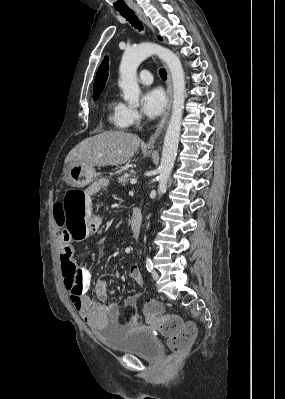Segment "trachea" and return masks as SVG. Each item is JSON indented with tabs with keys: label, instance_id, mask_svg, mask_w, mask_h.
Here are the masks:
<instances>
[{
	"label": "trachea",
	"instance_id": "obj_1",
	"mask_svg": "<svg viewBox=\"0 0 285 399\" xmlns=\"http://www.w3.org/2000/svg\"><path fill=\"white\" fill-rule=\"evenodd\" d=\"M118 12L136 29L142 31L143 26L141 22L137 19L135 12L131 9H126V10H118ZM159 74L163 80L167 79V74L165 69L161 68L159 70Z\"/></svg>",
	"mask_w": 285,
	"mask_h": 399
}]
</instances>
